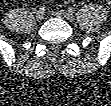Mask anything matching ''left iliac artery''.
Here are the masks:
<instances>
[{"label":"left iliac artery","mask_w":111,"mask_h":106,"mask_svg":"<svg viewBox=\"0 0 111 106\" xmlns=\"http://www.w3.org/2000/svg\"><path fill=\"white\" fill-rule=\"evenodd\" d=\"M68 11H69L70 13H74L75 9H74L73 7H70V8L68 9Z\"/></svg>","instance_id":"obj_1"}]
</instances>
